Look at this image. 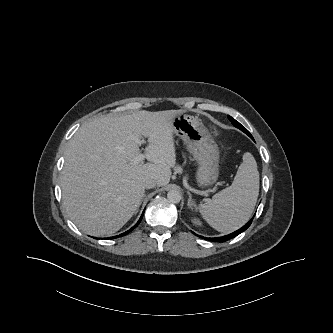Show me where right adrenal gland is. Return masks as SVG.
<instances>
[{
  "label": "right adrenal gland",
  "instance_id": "1",
  "mask_svg": "<svg viewBox=\"0 0 333 333\" xmlns=\"http://www.w3.org/2000/svg\"><path fill=\"white\" fill-rule=\"evenodd\" d=\"M145 197V194H144V196H143V198ZM143 198L141 199V201H140V203H139V205H138V208H137V210H136V212L135 213H137L138 212V210H139V206L141 205V203H142V201H143Z\"/></svg>",
  "mask_w": 333,
  "mask_h": 333
}]
</instances>
